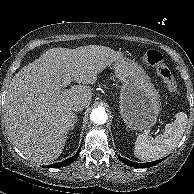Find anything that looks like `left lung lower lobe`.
Segmentation results:
<instances>
[{
	"mask_svg": "<svg viewBox=\"0 0 194 194\" xmlns=\"http://www.w3.org/2000/svg\"><path fill=\"white\" fill-rule=\"evenodd\" d=\"M119 158L126 165H129V166L135 167V168H149V167L155 166L156 164H159L161 161H163L165 159V158H163V159H160V160H157L154 162H149V163H137V162L129 161V160L122 158L120 156H119Z\"/></svg>",
	"mask_w": 194,
	"mask_h": 194,
	"instance_id": "1",
	"label": "left lung lower lobe"
}]
</instances>
